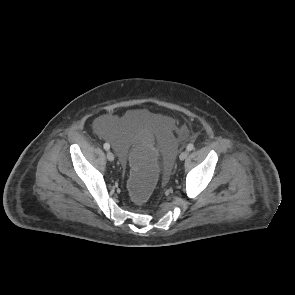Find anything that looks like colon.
<instances>
[{
  "mask_svg": "<svg viewBox=\"0 0 295 295\" xmlns=\"http://www.w3.org/2000/svg\"><path fill=\"white\" fill-rule=\"evenodd\" d=\"M136 142L131 147L134 159L132 177L129 180V197L136 204H145L152 197L157 183L158 162L155 156L152 132L143 128L137 132Z\"/></svg>",
  "mask_w": 295,
  "mask_h": 295,
  "instance_id": "obj_1",
  "label": "colon"
}]
</instances>
